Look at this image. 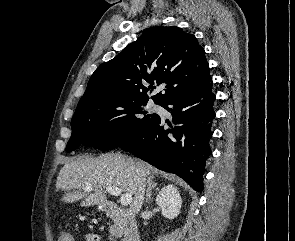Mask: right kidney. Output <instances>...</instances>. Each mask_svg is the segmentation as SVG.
<instances>
[{
    "mask_svg": "<svg viewBox=\"0 0 295 241\" xmlns=\"http://www.w3.org/2000/svg\"><path fill=\"white\" fill-rule=\"evenodd\" d=\"M156 204L161 208L165 218L174 219L180 213L182 199L175 186L167 185L159 191Z\"/></svg>",
    "mask_w": 295,
    "mask_h": 241,
    "instance_id": "obj_1",
    "label": "right kidney"
}]
</instances>
